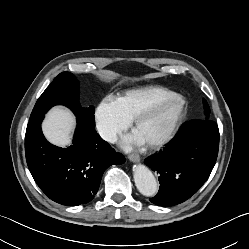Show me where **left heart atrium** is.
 Returning <instances> with one entry per match:
<instances>
[{
  "instance_id": "1",
  "label": "left heart atrium",
  "mask_w": 249,
  "mask_h": 249,
  "mask_svg": "<svg viewBox=\"0 0 249 249\" xmlns=\"http://www.w3.org/2000/svg\"><path fill=\"white\" fill-rule=\"evenodd\" d=\"M145 144H146L145 141L139 136V134L136 131L128 135L122 142V146L125 149H130L133 146L140 147Z\"/></svg>"
}]
</instances>
